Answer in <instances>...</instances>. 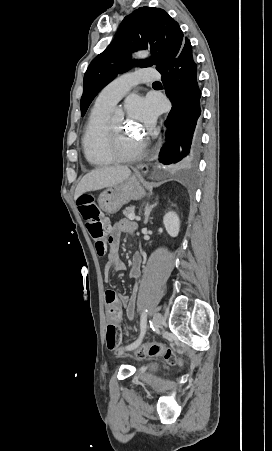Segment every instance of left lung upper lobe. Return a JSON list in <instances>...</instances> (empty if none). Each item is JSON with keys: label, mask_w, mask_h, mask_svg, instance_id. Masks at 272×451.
Instances as JSON below:
<instances>
[{"label": "left lung upper lobe", "mask_w": 272, "mask_h": 451, "mask_svg": "<svg viewBox=\"0 0 272 451\" xmlns=\"http://www.w3.org/2000/svg\"><path fill=\"white\" fill-rule=\"evenodd\" d=\"M184 39L179 24L163 9L145 6L126 16L112 43L93 59L84 75L81 115L117 74L133 66L130 53L149 47L152 56L135 64L141 68L155 65L161 71L176 58Z\"/></svg>", "instance_id": "5c2ea615"}]
</instances>
